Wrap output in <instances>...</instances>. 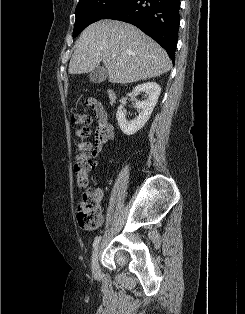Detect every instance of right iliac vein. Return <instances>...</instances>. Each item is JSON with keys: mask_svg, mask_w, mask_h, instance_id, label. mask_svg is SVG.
<instances>
[{"mask_svg": "<svg viewBox=\"0 0 245 314\" xmlns=\"http://www.w3.org/2000/svg\"><path fill=\"white\" fill-rule=\"evenodd\" d=\"M99 252H100V246L97 245L93 251L92 254V260H91V269L92 272L95 275H98L100 272V267H99Z\"/></svg>", "mask_w": 245, "mask_h": 314, "instance_id": "1", "label": "right iliac vein"}]
</instances>
